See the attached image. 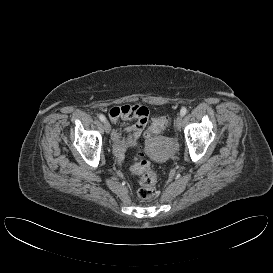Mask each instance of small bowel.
I'll list each match as a JSON object with an SVG mask.
<instances>
[{
  "instance_id": "c3829d8e",
  "label": "small bowel",
  "mask_w": 273,
  "mask_h": 273,
  "mask_svg": "<svg viewBox=\"0 0 273 273\" xmlns=\"http://www.w3.org/2000/svg\"><path fill=\"white\" fill-rule=\"evenodd\" d=\"M109 116L114 123L134 121L121 129L114 130L112 134L114 154L119 161H123L126 150L142 137L148 122L149 110L142 105L115 106L109 110Z\"/></svg>"
}]
</instances>
